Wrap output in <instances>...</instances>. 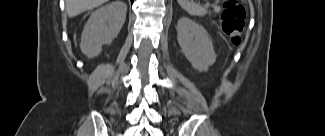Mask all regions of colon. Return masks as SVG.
Returning <instances> with one entry per match:
<instances>
[{
	"label": "colon",
	"instance_id": "colon-1",
	"mask_svg": "<svg viewBox=\"0 0 325 136\" xmlns=\"http://www.w3.org/2000/svg\"><path fill=\"white\" fill-rule=\"evenodd\" d=\"M245 26V9L241 3L233 0L224 2L222 13L223 31L231 37L234 45L242 43V33Z\"/></svg>",
	"mask_w": 325,
	"mask_h": 136
}]
</instances>
